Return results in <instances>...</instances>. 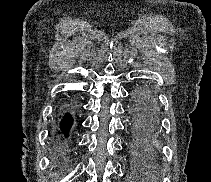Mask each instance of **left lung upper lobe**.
Returning a JSON list of instances; mask_svg holds the SVG:
<instances>
[{
    "label": "left lung upper lobe",
    "instance_id": "left-lung-upper-lobe-1",
    "mask_svg": "<svg viewBox=\"0 0 211 182\" xmlns=\"http://www.w3.org/2000/svg\"><path fill=\"white\" fill-rule=\"evenodd\" d=\"M135 113H136V115L138 116V118L140 119V121H141L147 128L151 129V128H150L146 123H144V122L141 120V118L139 117L137 107H136ZM151 130H152V129H151Z\"/></svg>",
    "mask_w": 211,
    "mask_h": 182
}]
</instances>
